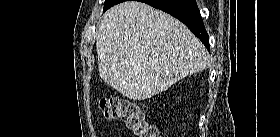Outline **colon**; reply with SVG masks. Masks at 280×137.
Returning <instances> with one entry per match:
<instances>
[{"instance_id": "1", "label": "colon", "mask_w": 280, "mask_h": 137, "mask_svg": "<svg viewBox=\"0 0 280 137\" xmlns=\"http://www.w3.org/2000/svg\"><path fill=\"white\" fill-rule=\"evenodd\" d=\"M98 109L107 119H121L135 137H158V129L149 123L139 104L124 98L103 97Z\"/></svg>"}]
</instances>
